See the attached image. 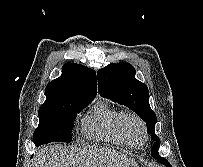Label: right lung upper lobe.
Here are the masks:
<instances>
[{"instance_id":"1","label":"right lung upper lobe","mask_w":203,"mask_h":167,"mask_svg":"<svg viewBox=\"0 0 203 167\" xmlns=\"http://www.w3.org/2000/svg\"><path fill=\"white\" fill-rule=\"evenodd\" d=\"M96 93V73L93 69L81 64H65L62 75L46 86V101L39 109L54 108L73 100L94 99Z\"/></svg>"}]
</instances>
